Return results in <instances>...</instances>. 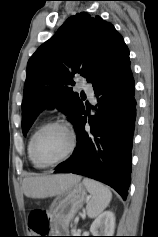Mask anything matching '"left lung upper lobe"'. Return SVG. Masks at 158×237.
<instances>
[{"instance_id": "obj_1", "label": "left lung upper lobe", "mask_w": 158, "mask_h": 237, "mask_svg": "<svg viewBox=\"0 0 158 237\" xmlns=\"http://www.w3.org/2000/svg\"><path fill=\"white\" fill-rule=\"evenodd\" d=\"M129 50L111 23L82 12L68 18L29 59L22 102L26 135L38 113L57 107L77 127L84 105L72 91L76 74L97 87L124 63Z\"/></svg>"}]
</instances>
